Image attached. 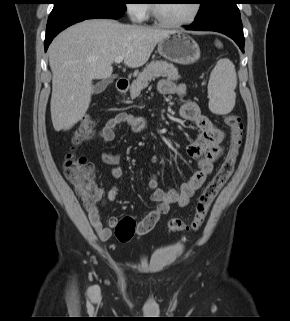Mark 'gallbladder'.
Segmentation results:
<instances>
[{"label":"gallbladder","instance_id":"gallbladder-1","mask_svg":"<svg viewBox=\"0 0 290 321\" xmlns=\"http://www.w3.org/2000/svg\"><path fill=\"white\" fill-rule=\"evenodd\" d=\"M112 79L109 78V79H106V80H102L100 82H98L95 86H94V90L93 92L95 94H99V93H102L106 87L108 86V84L110 83Z\"/></svg>","mask_w":290,"mask_h":321}]
</instances>
